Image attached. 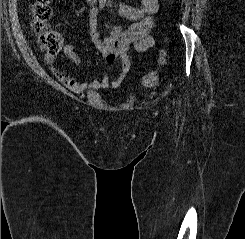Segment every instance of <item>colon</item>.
I'll list each match as a JSON object with an SVG mask.
<instances>
[{"instance_id": "obj_1", "label": "colon", "mask_w": 245, "mask_h": 239, "mask_svg": "<svg viewBox=\"0 0 245 239\" xmlns=\"http://www.w3.org/2000/svg\"><path fill=\"white\" fill-rule=\"evenodd\" d=\"M32 16L31 30L37 37L38 45L44 53L56 54L62 44V38L57 32L47 28V22L52 16V8L50 0H35L30 7ZM160 65L166 64V54L163 52L160 57ZM159 71H152L140 80V84L144 88H154L159 83Z\"/></svg>"}]
</instances>
